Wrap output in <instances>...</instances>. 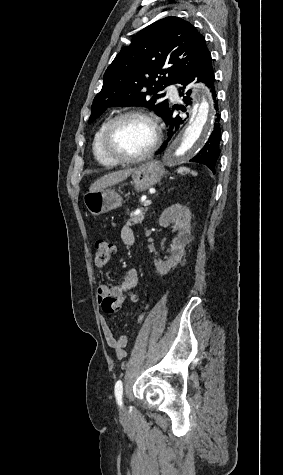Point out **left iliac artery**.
Here are the masks:
<instances>
[{"label":"left iliac artery","instance_id":"44dca946","mask_svg":"<svg viewBox=\"0 0 283 475\" xmlns=\"http://www.w3.org/2000/svg\"><path fill=\"white\" fill-rule=\"evenodd\" d=\"M122 393H123V385L122 382L119 380L115 384V395L118 401V404L122 406Z\"/></svg>","mask_w":283,"mask_h":475}]
</instances>
